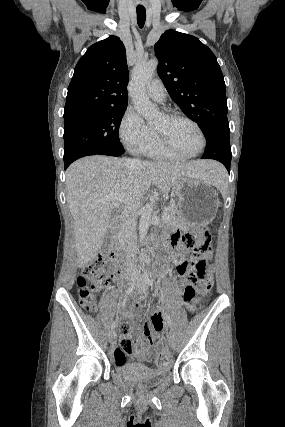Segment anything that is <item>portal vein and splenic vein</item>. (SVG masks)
Listing matches in <instances>:
<instances>
[{"mask_svg": "<svg viewBox=\"0 0 285 427\" xmlns=\"http://www.w3.org/2000/svg\"><path fill=\"white\" fill-rule=\"evenodd\" d=\"M102 200L113 201V202H115V201L123 202V200L120 197H118V196H106ZM161 218L163 220H166V219L169 218V216L166 213H163L162 216H161Z\"/></svg>", "mask_w": 285, "mask_h": 427, "instance_id": "1", "label": "portal vein and splenic vein"}]
</instances>
